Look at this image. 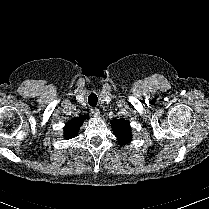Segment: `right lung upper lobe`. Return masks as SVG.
Instances as JSON below:
<instances>
[{
    "label": "right lung upper lobe",
    "instance_id": "obj_1",
    "mask_svg": "<svg viewBox=\"0 0 209 209\" xmlns=\"http://www.w3.org/2000/svg\"><path fill=\"white\" fill-rule=\"evenodd\" d=\"M85 119H88V117L85 115H82L66 123L64 127L65 138L71 139L74 136H76L79 128L82 126Z\"/></svg>",
    "mask_w": 209,
    "mask_h": 209
}]
</instances>
